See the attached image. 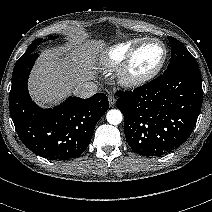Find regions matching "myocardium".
Masks as SVG:
<instances>
[{
  "instance_id": "obj_1",
  "label": "myocardium",
  "mask_w": 212,
  "mask_h": 212,
  "mask_svg": "<svg viewBox=\"0 0 212 212\" xmlns=\"http://www.w3.org/2000/svg\"><path fill=\"white\" fill-rule=\"evenodd\" d=\"M159 44L162 47L163 55L159 63L152 69L144 73H134L133 72V63L139 53V51L148 44ZM168 56V51L165 44L158 39H145L139 41L133 49L129 52L125 60L122 62L119 72H118V81L119 83L126 88H136L140 87L152 79H154L159 72L164 67Z\"/></svg>"
}]
</instances>
